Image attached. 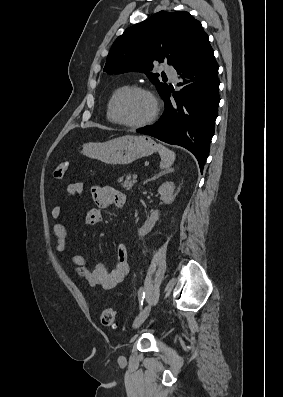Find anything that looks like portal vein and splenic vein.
Segmentation results:
<instances>
[{
  "instance_id": "18ae733b",
  "label": "portal vein and splenic vein",
  "mask_w": 283,
  "mask_h": 397,
  "mask_svg": "<svg viewBox=\"0 0 283 397\" xmlns=\"http://www.w3.org/2000/svg\"><path fill=\"white\" fill-rule=\"evenodd\" d=\"M138 175L136 173L133 174V178L137 179Z\"/></svg>"
}]
</instances>
